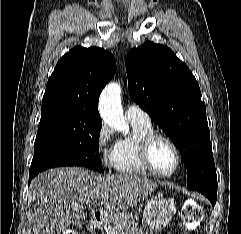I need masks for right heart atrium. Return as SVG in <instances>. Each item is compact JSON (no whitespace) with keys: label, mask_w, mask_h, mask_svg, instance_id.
Instances as JSON below:
<instances>
[{"label":"right heart atrium","mask_w":241,"mask_h":234,"mask_svg":"<svg viewBox=\"0 0 241 234\" xmlns=\"http://www.w3.org/2000/svg\"><path fill=\"white\" fill-rule=\"evenodd\" d=\"M96 145L102 156L103 163L112 166V153L114 149L113 132L106 124H102L96 135Z\"/></svg>","instance_id":"right-heart-atrium-1"}]
</instances>
